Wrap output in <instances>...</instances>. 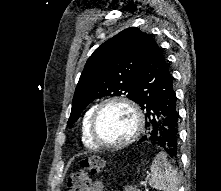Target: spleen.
<instances>
[{"label":"spleen","instance_id":"spleen-1","mask_svg":"<svg viewBox=\"0 0 221 191\" xmlns=\"http://www.w3.org/2000/svg\"><path fill=\"white\" fill-rule=\"evenodd\" d=\"M149 185L159 191H178L179 179L177 171L168 162L165 153L157 154L150 167Z\"/></svg>","mask_w":221,"mask_h":191}]
</instances>
